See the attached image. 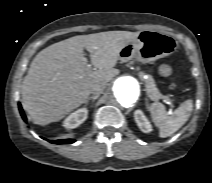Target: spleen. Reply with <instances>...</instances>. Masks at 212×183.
Listing matches in <instances>:
<instances>
[{"mask_svg": "<svg viewBox=\"0 0 212 183\" xmlns=\"http://www.w3.org/2000/svg\"><path fill=\"white\" fill-rule=\"evenodd\" d=\"M193 109V102L188 99L169 116L163 104L155 102L150 106L152 121L160 129L159 136L168 137L179 130L189 119Z\"/></svg>", "mask_w": 212, "mask_h": 183, "instance_id": "obj_1", "label": "spleen"}]
</instances>
